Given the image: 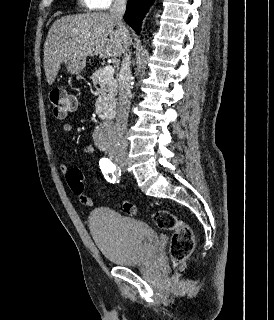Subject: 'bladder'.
I'll use <instances>...</instances> for the list:
<instances>
[{
  "instance_id": "1",
  "label": "bladder",
  "mask_w": 274,
  "mask_h": 320,
  "mask_svg": "<svg viewBox=\"0 0 274 320\" xmlns=\"http://www.w3.org/2000/svg\"><path fill=\"white\" fill-rule=\"evenodd\" d=\"M89 232L105 259L118 266H138L157 252L159 237L145 222L111 208L94 210Z\"/></svg>"
}]
</instances>
